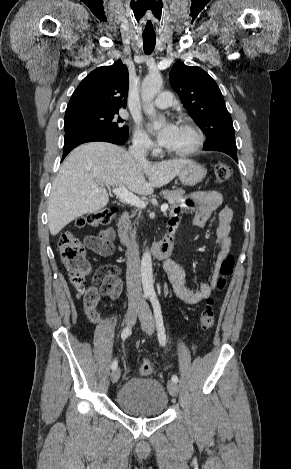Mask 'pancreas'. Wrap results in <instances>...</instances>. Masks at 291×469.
<instances>
[{"mask_svg":"<svg viewBox=\"0 0 291 469\" xmlns=\"http://www.w3.org/2000/svg\"><path fill=\"white\" fill-rule=\"evenodd\" d=\"M184 193L185 191L182 189L173 191L164 190L161 192L164 198L169 201L171 207L178 206V204L183 200Z\"/></svg>","mask_w":291,"mask_h":469,"instance_id":"1","label":"pancreas"}]
</instances>
